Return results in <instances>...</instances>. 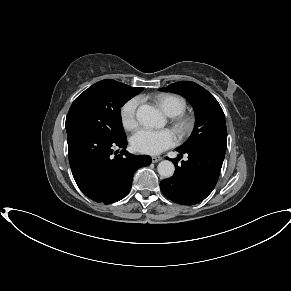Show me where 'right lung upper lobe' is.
Masks as SVG:
<instances>
[{"instance_id": "obj_1", "label": "right lung upper lobe", "mask_w": 291, "mask_h": 291, "mask_svg": "<svg viewBox=\"0 0 291 291\" xmlns=\"http://www.w3.org/2000/svg\"><path fill=\"white\" fill-rule=\"evenodd\" d=\"M113 81H115V80H113ZM115 82H117V81H115ZM118 83H120V82H118ZM123 84V83H122ZM126 85V84H125ZM133 89H138L139 87H132Z\"/></svg>"}]
</instances>
